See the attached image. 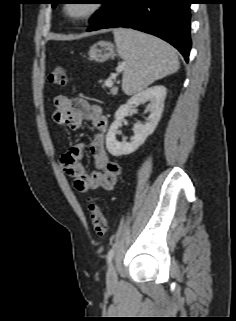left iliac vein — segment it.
Here are the masks:
<instances>
[{"label":"left iliac vein","instance_id":"1","mask_svg":"<svg viewBox=\"0 0 236 321\" xmlns=\"http://www.w3.org/2000/svg\"><path fill=\"white\" fill-rule=\"evenodd\" d=\"M107 283L113 286L117 283V273L113 263H110L107 271Z\"/></svg>","mask_w":236,"mask_h":321}]
</instances>
